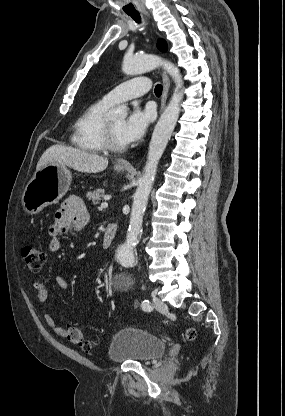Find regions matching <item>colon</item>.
I'll use <instances>...</instances> for the list:
<instances>
[{"mask_svg":"<svg viewBox=\"0 0 285 416\" xmlns=\"http://www.w3.org/2000/svg\"><path fill=\"white\" fill-rule=\"evenodd\" d=\"M22 258L26 263L27 268L32 273H38L46 262V253L33 246H25L21 251ZM196 336L194 329L187 331V337L193 340ZM66 338L75 346L84 351H90L93 348L92 342L85 337L81 329L77 326H69L66 331Z\"/></svg>","mask_w":285,"mask_h":416,"instance_id":"1","label":"colon"}]
</instances>
